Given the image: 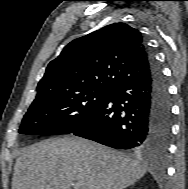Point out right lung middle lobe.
<instances>
[{
	"instance_id": "1",
	"label": "right lung middle lobe",
	"mask_w": 188,
	"mask_h": 189,
	"mask_svg": "<svg viewBox=\"0 0 188 189\" xmlns=\"http://www.w3.org/2000/svg\"><path fill=\"white\" fill-rule=\"evenodd\" d=\"M110 92L108 88H89L36 96L24 115L19 133H72L89 119Z\"/></svg>"
}]
</instances>
